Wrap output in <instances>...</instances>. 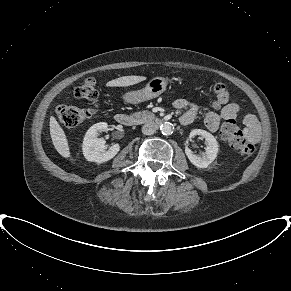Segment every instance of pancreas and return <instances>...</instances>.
<instances>
[{"instance_id": "obj_1", "label": "pancreas", "mask_w": 291, "mask_h": 291, "mask_svg": "<svg viewBox=\"0 0 291 291\" xmlns=\"http://www.w3.org/2000/svg\"><path fill=\"white\" fill-rule=\"evenodd\" d=\"M132 118H133L134 124H142L154 118V115L150 111L144 110V111L133 113Z\"/></svg>"}]
</instances>
